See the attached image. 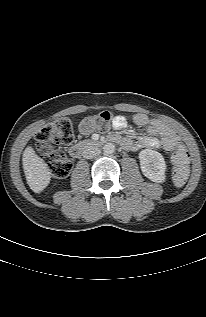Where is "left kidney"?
Wrapping results in <instances>:
<instances>
[{
  "label": "left kidney",
  "instance_id": "obj_1",
  "mask_svg": "<svg viewBox=\"0 0 206 317\" xmlns=\"http://www.w3.org/2000/svg\"><path fill=\"white\" fill-rule=\"evenodd\" d=\"M139 159L141 170L145 177L157 183L165 181L166 163L159 152L144 149L139 153Z\"/></svg>",
  "mask_w": 206,
  "mask_h": 317
}]
</instances>
